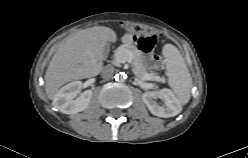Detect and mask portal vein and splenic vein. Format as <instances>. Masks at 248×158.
I'll return each instance as SVG.
<instances>
[{
  "instance_id": "obj_1",
  "label": "portal vein and splenic vein",
  "mask_w": 248,
  "mask_h": 158,
  "mask_svg": "<svg viewBox=\"0 0 248 158\" xmlns=\"http://www.w3.org/2000/svg\"><path fill=\"white\" fill-rule=\"evenodd\" d=\"M126 61L130 62V61H131V59H130V58H128Z\"/></svg>"
}]
</instances>
